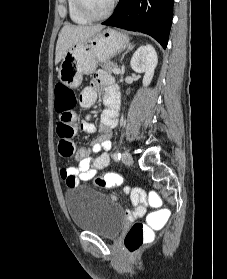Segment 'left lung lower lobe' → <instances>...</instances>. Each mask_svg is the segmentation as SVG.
<instances>
[{"mask_svg":"<svg viewBox=\"0 0 227 279\" xmlns=\"http://www.w3.org/2000/svg\"><path fill=\"white\" fill-rule=\"evenodd\" d=\"M173 18V0H120L103 25L138 31L166 48Z\"/></svg>","mask_w":227,"mask_h":279,"instance_id":"obj_1","label":"left lung lower lobe"}]
</instances>
